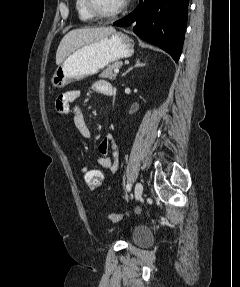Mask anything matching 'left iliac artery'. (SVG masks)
Returning a JSON list of instances; mask_svg holds the SVG:
<instances>
[{
	"label": "left iliac artery",
	"mask_w": 240,
	"mask_h": 287,
	"mask_svg": "<svg viewBox=\"0 0 240 287\" xmlns=\"http://www.w3.org/2000/svg\"><path fill=\"white\" fill-rule=\"evenodd\" d=\"M126 189H127L128 191H130V190H131V184L127 183Z\"/></svg>",
	"instance_id": "obj_1"
}]
</instances>
